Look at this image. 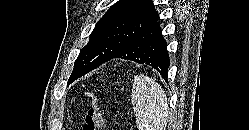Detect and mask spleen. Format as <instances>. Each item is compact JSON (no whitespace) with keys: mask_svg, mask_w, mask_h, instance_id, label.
<instances>
[{"mask_svg":"<svg viewBox=\"0 0 249 130\" xmlns=\"http://www.w3.org/2000/svg\"><path fill=\"white\" fill-rule=\"evenodd\" d=\"M131 102L139 130H165L169 119L167 96L154 79L137 75Z\"/></svg>","mask_w":249,"mask_h":130,"instance_id":"1","label":"spleen"}]
</instances>
